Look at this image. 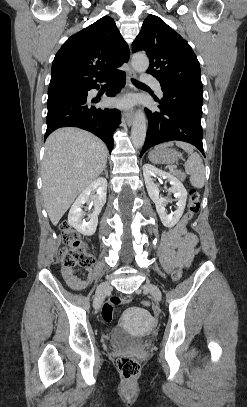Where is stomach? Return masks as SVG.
<instances>
[{"label": "stomach", "mask_w": 247, "mask_h": 407, "mask_svg": "<svg viewBox=\"0 0 247 407\" xmlns=\"http://www.w3.org/2000/svg\"><path fill=\"white\" fill-rule=\"evenodd\" d=\"M181 154L174 149L158 148L149 153V159L151 162L159 164L166 163L171 164L178 161Z\"/></svg>", "instance_id": "stomach-1"}]
</instances>
